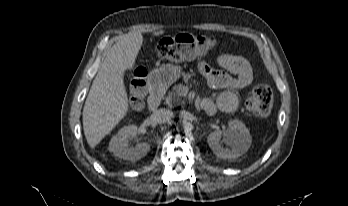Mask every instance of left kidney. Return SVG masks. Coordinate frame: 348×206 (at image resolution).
Instances as JSON below:
<instances>
[{"instance_id": "5707ae66", "label": "left kidney", "mask_w": 348, "mask_h": 206, "mask_svg": "<svg viewBox=\"0 0 348 206\" xmlns=\"http://www.w3.org/2000/svg\"><path fill=\"white\" fill-rule=\"evenodd\" d=\"M222 137L224 138V143L230 146L231 149L223 147ZM207 142L213 153L218 157L235 159L248 151L252 138L245 124L236 119L229 122L228 130L210 133Z\"/></svg>"}]
</instances>
